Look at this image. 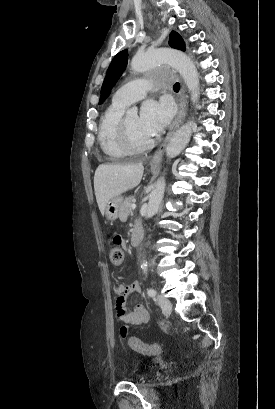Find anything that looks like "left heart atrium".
I'll return each instance as SVG.
<instances>
[{"instance_id":"left-heart-atrium-1","label":"left heart atrium","mask_w":275,"mask_h":409,"mask_svg":"<svg viewBox=\"0 0 275 409\" xmlns=\"http://www.w3.org/2000/svg\"><path fill=\"white\" fill-rule=\"evenodd\" d=\"M172 110L169 106L155 101H146L139 117L143 131L151 138L160 135L170 122Z\"/></svg>"}]
</instances>
